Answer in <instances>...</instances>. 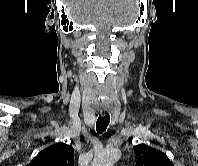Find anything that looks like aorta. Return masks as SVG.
Instances as JSON below:
<instances>
[{
  "label": "aorta",
  "mask_w": 198,
  "mask_h": 166,
  "mask_svg": "<svg viewBox=\"0 0 198 166\" xmlns=\"http://www.w3.org/2000/svg\"><path fill=\"white\" fill-rule=\"evenodd\" d=\"M120 155L121 153L117 149L104 150L95 156L91 166H113L114 163L120 158Z\"/></svg>",
  "instance_id": "obj_1"
}]
</instances>
